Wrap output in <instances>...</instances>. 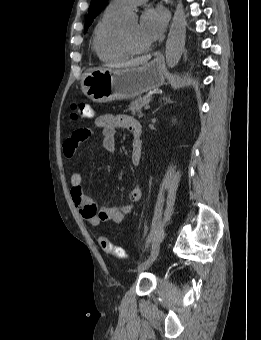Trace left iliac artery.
<instances>
[{
    "mask_svg": "<svg viewBox=\"0 0 261 340\" xmlns=\"http://www.w3.org/2000/svg\"><path fill=\"white\" fill-rule=\"evenodd\" d=\"M159 250H160V246L157 242H153L151 249H150V253L148 255V257L145 259H155L158 254H159Z\"/></svg>",
    "mask_w": 261,
    "mask_h": 340,
    "instance_id": "obj_1",
    "label": "left iliac artery"
}]
</instances>
